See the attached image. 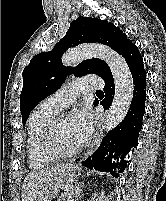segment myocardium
<instances>
[{
  "instance_id": "obj_1",
  "label": "myocardium",
  "mask_w": 166,
  "mask_h": 201,
  "mask_svg": "<svg viewBox=\"0 0 166 201\" xmlns=\"http://www.w3.org/2000/svg\"><path fill=\"white\" fill-rule=\"evenodd\" d=\"M63 118L60 116H55L46 126L43 133V145L45 149L53 154L56 158H69L76 155L80 150L81 146L74 149H63L59 146L56 135V128L60 120Z\"/></svg>"
}]
</instances>
